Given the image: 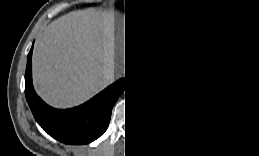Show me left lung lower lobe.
I'll return each mask as SVG.
<instances>
[{
	"mask_svg": "<svg viewBox=\"0 0 259 156\" xmlns=\"http://www.w3.org/2000/svg\"><path fill=\"white\" fill-rule=\"evenodd\" d=\"M142 85L146 122L165 140H179L200 129L206 122L205 111L214 107L209 94L201 91L192 93L187 101L182 100L180 85L170 74L164 82L155 77L148 80L146 76Z\"/></svg>",
	"mask_w": 259,
	"mask_h": 156,
	"instance_id": "left-lung-lower-lobe-1",
	"label": "left lung lower lobe"
}]
</instances>
